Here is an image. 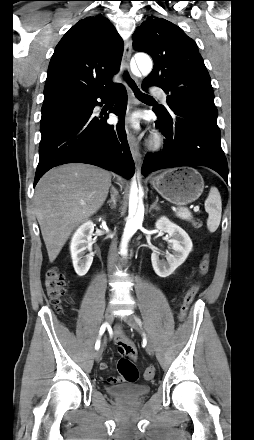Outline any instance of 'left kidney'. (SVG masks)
Returning <instances> with one entry per match:
<instances>
[{"mask_svg": "<svg viewBox=\"0 0 254 440\" xmlns=\"http://www.w3.org/2000/svg\"><path fill=\"white\" fill-rule=\"evenodd\" d=\"M155 228L168 233V247L172 250V254L166 256V261L159 258L160 252L158 251H154L151 255L155 273L165 278L185 262L192 251L193 244L188 234L167 217H160L155 223Z\"/></svg>", "mask_w": 254, "mask_h": 440, "instance_id": "left-kidney-1", "label": "left kidney"}]
</instances>
